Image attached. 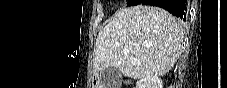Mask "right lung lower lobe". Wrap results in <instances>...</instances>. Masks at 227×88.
<instances>
[{
	"mask_svg": "<svg viewBox=\"0 0 227 88\" xmlns=\"http://www.w3.org/2000/svg\"><path fill=\"white\" fill-rule=\"evenodd\" d=\"M139 4L158 6L182 20L187 18V0H141Z\"/></svg>",
	"mask_w": 227,
	"mask_h": 88,
	"instance_id": "obj_1",
	"label": "right lung lower lobe"
}]
</instances>
